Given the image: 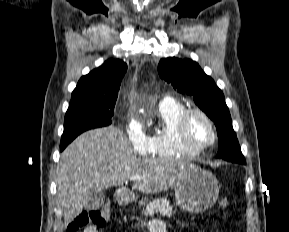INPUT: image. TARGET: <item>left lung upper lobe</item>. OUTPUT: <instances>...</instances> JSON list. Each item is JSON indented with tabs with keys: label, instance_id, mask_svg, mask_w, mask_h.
<instances>
[{
	"label": "left lung upper lobe",
	"instance_id": "left-lung-upper-lobe-1",
	"mask_svg": "<svg viewBox=\"0 0 289 232\" xmlns=\"http://www.w3.org/2000/svg\"><path fill=\"white\" fill-rule=\"evenodd\" d=\"M158 72L175 90L193 96L196 105L214 121L219 139L217 158L245 163L224 95L213 79L196 62L175 57L161 59Z\"/></svg>",
	"mask_w": 289,
	"mask_h": 232
}]
</instances>
